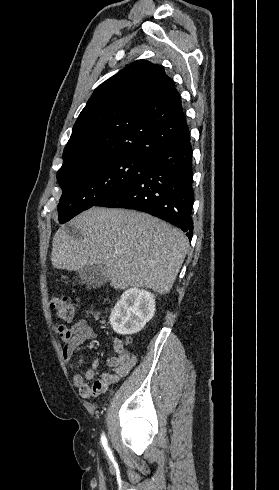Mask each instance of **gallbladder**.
Wrapping results in <instances>:
<instances>
[{"mask_svg": "<svg viewBox=\"0 0 279 490\" xmlns=\"http://www.w3.org/2000/svg\"><path fill=\"white\" fill-rule=\"evenodd\" d=\"M79 278L88 288H101L108 278L104 266H87L79 270Z\"/></svg>", "mask_w": 279, "mask_h": 490, "instance_id": "1", "label": "gallbladder"}]
</instances>
